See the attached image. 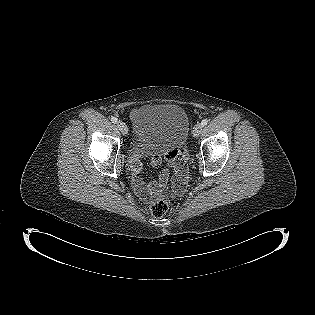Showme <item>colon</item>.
<instances>
[{"instance_id": "colon-1", "label": "colon", "mask_w": 315, "mask_h": 315, "mask_svg": "<svg viewBox=\"0 0 315 315\" xmlns=\"http://www.w3.org/2000/svg\"><path fill=\"white\" fill-rule=\"evenodd\" d=\"M182 157V156H181ZM183 158V157H182ZM186 188V179L184 174H179L173 182L172 191L182 193ZM171 191H166L165 194L155 202L149 205V212L155 217H162L168 211V198Z\"/></svg>"}]
</instances>
